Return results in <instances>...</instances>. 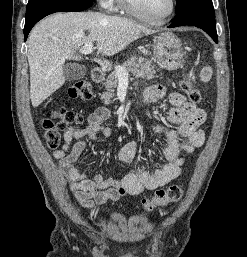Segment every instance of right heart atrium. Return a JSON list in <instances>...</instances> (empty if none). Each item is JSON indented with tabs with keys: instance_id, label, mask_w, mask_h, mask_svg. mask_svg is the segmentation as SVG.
Returning <instances> with one entry per match:
<instances>
[{
	"instance_id": "right-heart-atrium-1",
	"label": "right heart atrium",
	"mask_w": 247,
	"mask_h": 257,
	"mask_svg": "<svg viewBox=\"0 0 247 257\" xmlns=\"http://www.w3.org/2000/svg\"><path fill=\"white\" fill-rule=\"evenodd\" d=\"M100 7L104 10H112L117 0H97Z\"/></svg>"
}]
</instances>
